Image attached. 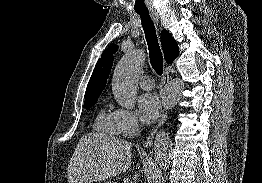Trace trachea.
Masks as SVG:
<instances>
[{
	"label": "trachea",
	"instance_id": "obj_1",
	"mask_svg": "<svg viewBox=\"0 0 262 183\" xmlns=\"http://www.w3.org/2000/svg\"><path fill=\"white\" fill-rule=\"evenodd\" d=\"M141 17L142 27L145 32V37L148 45L150 63L152 68L158 75L163 73V57L158 43V38L153 21L150 18L148 11L137 12Z\"/></svg>",
	"mask_w": 262,
	"mask_h": 183
}]
</instances>
